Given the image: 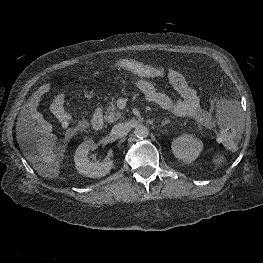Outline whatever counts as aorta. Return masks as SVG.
<instances>
[{
    "label": "aorta",
    "instance_id": "aorta-1",
    "mask_svg": "<svg viewBox=\"0 0 263 263\" xmlns=\"http://www.w3.org/2000/svg\"><path fill=\"white\" fill-rule=\"evenodd\" d=\"M134 134L138 138H146L149 135V129L146 126L139 125L135 128Z\"/></svg>",
    "mask_w": 263,
    "mask_h": 263
}]
</instances>
